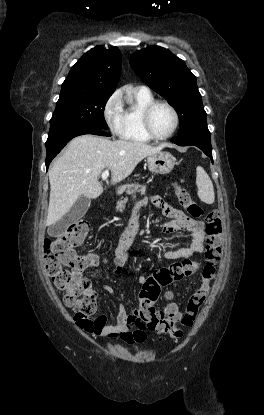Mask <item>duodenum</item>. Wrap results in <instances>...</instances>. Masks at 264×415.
Here are the masks:
<instances>
[{
    "instance_id": "410a0bca",
    "label": "duodenum",
    "mask_w": 264,
    "mask_h": 415,
    "mask_svg": "<svg viewBox=\"0 0 264 415\" xmlns=\"http://www.w3.org/2000/svg\"><path fill=\"white\" fill-rule=\"evenodd\" d=\"M138 225H139V220L137 218H134L133 219V226L138 227Z\"/></svg>"
}]
</instances>
